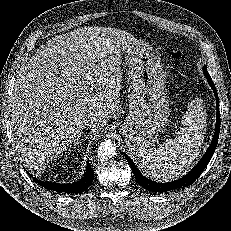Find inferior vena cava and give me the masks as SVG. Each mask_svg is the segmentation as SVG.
Returning <instances> with one entry per match:
<instances>
[{
  "instance_id": "1",
  "label": "inferior vena cava",
  "mask_w": 231,
  "mask_h": 231,
  "mask_svg": "<svg viewBox=\"0 0 231 231\" xmlns=\"http://www.w3.org/2000/svg\"><path fill=\"white\" fill-rule=\"evenodd\" d=\"M96 122H97V120H96L95 118L90 117V118L84 120V125H85V126H88V127H92V126H94L95 124H97Z\"/></svg>"
}]
</instances>
